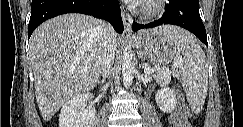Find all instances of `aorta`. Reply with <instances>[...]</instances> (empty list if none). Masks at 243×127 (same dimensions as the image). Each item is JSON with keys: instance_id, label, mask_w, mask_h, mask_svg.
Masks as SVG:
<instances>
[{"instance_id": "aorta-1", "label": "aorta", "mask_w": 243, "mask_h": 127, "mask_svg": "<svg viewBox=\"0 0 243 127\" xmlns=\"http://www.w3.org/2000/svg\"><path fill=\"white\" fill-rule=\"evenodd\" d=\"M134 71L135 68H134L132 48L129 44H127L123 50V60H122L123 84L126 88H129L133 83Z\"/></svg>"}]
</instances>
